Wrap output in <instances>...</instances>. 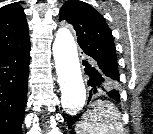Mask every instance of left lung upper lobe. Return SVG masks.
Here are the masks:
<instances>
[{
    "instance_id": "left-lung-upper-lobe-1",
    "label": "left lung upper lobe",
    "mask_w": 153,
    "mask_h": 134,
    "mask_svg": "<svg viewBox=\"0 0 153 134\" xmlns=\"http://www.w3.org/2000/svg\"><path fill=\"white\" fill-rule=\"evenodd\" d=\"M60 20L72 24L77 35V41L91 60L112 69L117 77L109 81L107 90H117L119 73L116 62V50L111 30L104 17L92 6L77 0L66 1L59 12Z\"/></svg>"
}]
</instances>
